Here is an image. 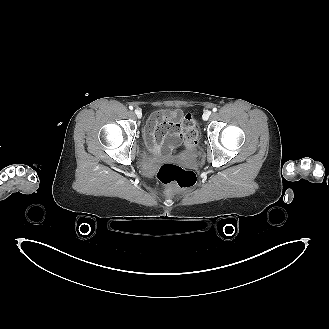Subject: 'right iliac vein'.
I'll list each match as a JSON object with an SVG mask.
<instances>
[{"instance_id":"63e3f726","label":"right iliac vein","mask_w":329,"mask_h":329,"mask_svg":"<svg viewBox=\"0 0 329 329\" xmlns=\"http://www.w3.org/2000/svg\"><path fill=\"white\" fill-rule=\"evenodd\" d=\"M135 114H136V116H137L138 118H141V117H142V112H141V110H139V109H136V110H135Z\"/></svg>"}]
</instances>
